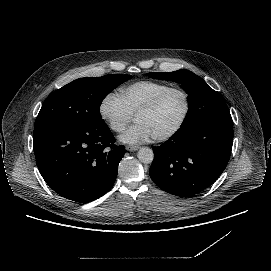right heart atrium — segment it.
Listing matches in <instances>:
<instances>
[{
    "label": "right heart atrium",
    "mask_w": 271,
    "mask_h": 271,
    "mask_svg": "<svg viewBox=\"0 0 271 271\" xmlns=\"http://www.w3.org/2000/svg\"><path fill=\"white\" fill-rule=\"evenodd\" d=\"M98 114L109 129L115 133L124 132L133 118L121 97L114 91H108L101 98L98 104Z\"/></svg>",
    "instance_id": "1"
}]
</instances>
